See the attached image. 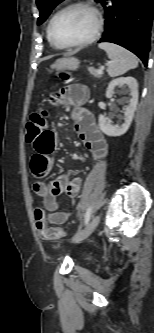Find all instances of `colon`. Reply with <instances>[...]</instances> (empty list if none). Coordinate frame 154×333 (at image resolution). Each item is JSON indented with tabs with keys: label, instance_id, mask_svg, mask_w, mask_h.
I'll return each instance as SVG.
<instances>
[{
	"label": "colon",
	"instance_id": "5ec220e1",
	"mask_svg": "<svg viewBox=\"0 0 154 333\" xmlns=\"http://www.w3.org/2000/svg\"><path fill=\"white\" fill-rule=\"evenodd\" d=\"M60 77L64 80L69 78L65 72H60ZM48 112L44 108H39L30 115L26 125L25 138L28 143H33L37 136L46 126ZM36 227L42 238L46 240H57L63 236V230L60 227H47L46 215L43 209L37 207L34 211Z\"/></svg>",
	"mask_w": 154,
	"mask_h": 333
}]
</instances>
